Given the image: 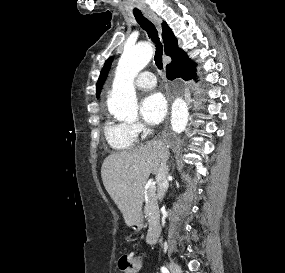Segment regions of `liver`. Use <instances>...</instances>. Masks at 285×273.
I'll use <instances>...</instances> for the list:
<instances>
[{
    "label": "liver",
    "mask_w": 285,
    "mask_h": 273,
    "mask_svg": "<svg viewBox=\"0 0 285 273\" xmlns=\"http://www.w3.org/2000/svg\"><path fill=\"white\" fill-rule=\"evenodd\" d=\"M168 157L167 142L151 141L105 158L101 168L104 187L128 226L140 219L144 186L150 174L157 175L161 163Z\"/></svg>",
    "instance_id": "6515ba94"
}]
</instances>
